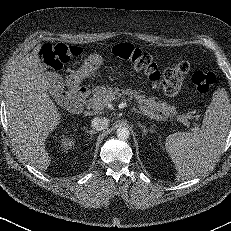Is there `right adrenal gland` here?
I'll use <instances>...</instances> for the list:
<instances>
[{"instance_id": "obj_1", "label": "right adrenal gland", "mask_w": 231, "mask_h": 231, "mask_svg": "<svg viewBox=\"0 0 231 231\" xmlns=\"http://www.w3.org/2000/svg\"><path fill=\"white\" fill-rule=\"evenodd\" d=\"M86 132L90 134V138L96 133L94 130H87Z\"/></svg>"}]
</instances>
